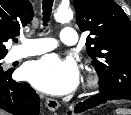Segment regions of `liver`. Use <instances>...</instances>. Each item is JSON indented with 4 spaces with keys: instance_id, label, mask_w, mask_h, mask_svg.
<instances>
[{
    "instance_id": "1",
    "label": "liver",
    "mask_w": 131,
    "mask_h": 115,
    "mask_svg": "<svg viewBox=\"0 0 131 115\" xmlns=\"http://www.w3.org/2000/svg\"><path fill=\"white\" fill-rule=\"evenodd\" d=\"M0 115H7V114L3 112L2 110H0Z\"/></svg>"
}]
</instances>
